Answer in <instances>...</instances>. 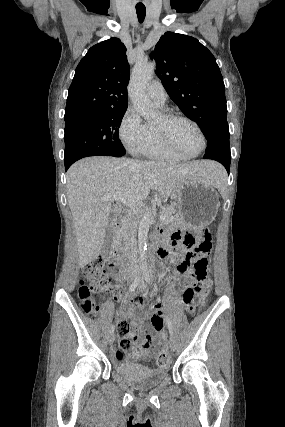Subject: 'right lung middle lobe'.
<instances>
[{
    "instance_id": "dd1d6c3e",
    "label": "right lung middle lobe",
    "mask_w": 285,
    "mask_h": 427,
    "mask_svg": "<svg viewBox=\"0 0 285 427\" xmlns=\"http://www.w3.org/2000/svg\"><path fill=\"white\" fill-rule=\"evenodd\" d=\"M126 109H108L65 119V165L88 156L120 157L126 151L119 127Z\"/></svg>"
}]
</instances>
